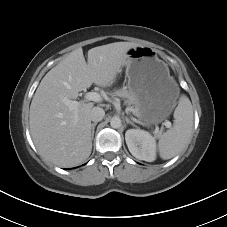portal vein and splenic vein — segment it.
Returning a JSON list of instances; mask_svg holds the SVG:
<instances>
[{
    "label": "portal vein and splenic vein",
    "mask_w": 227,
    "mask_h": 227,
    "mask_svg": "<svg viewBox=\"0 0 227 227\" xmlns=\"http://www.w3.org/2000/svg\"><path fill=\"white\" fill-rule=\"evenodd\" d=\"M85 100L86 101H94V102H100L102 101V97L99 93L97 92H88L85 96ZM63 103L65 105H67L71 110H77L79 105H80V102L78 101H72V100H69L67 98H64L63 99ZM163 125L166 127V128H171L172 124L170 121H165L163 123ZM155 133L158 134L159 133V130L158 129H155Z\"/></svg>",
    "instance_id": "18ae733b"
}]
</instances>
